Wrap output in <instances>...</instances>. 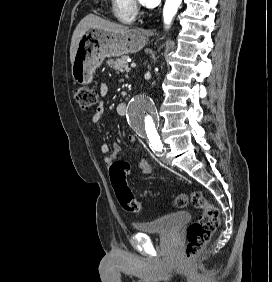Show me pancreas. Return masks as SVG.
Masks as SVG:
<instances>
[{
	"instance_id": "cf45deb5",
	"label": "pancreas",
	"mask_w": 272,
	"mask_h": 282,
	"mask_svg": "<svg viewBox=\"0 0 272 282\" xmlns=\"http://www.w3.org/2000/svg\"><path fill=\"white\" fill-rule=\"evenodd\" d=\"M127 56H122L118 59H110L107 61V64L117 72H129L130 68L128 67Z\"/></svg>"
}]
</instances>
